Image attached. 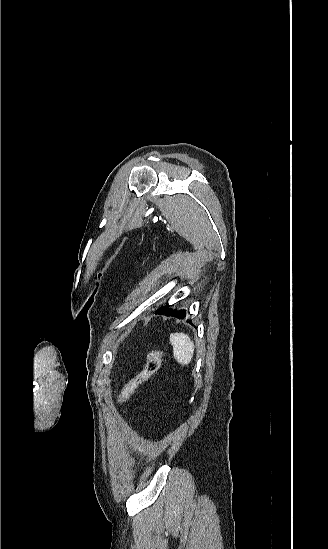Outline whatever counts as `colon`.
<instances>
[{
  "label": "colon",
  "instance_id": "1",
  "mask_svg": "<svg viewBox=\"0 0 328 549\" xmlns=\"http://www.w3.org/2000/svg\"><path fill=\"white\" fill-rule=\"evenodd\" d=\"M162 360V352L158 349H151L147 353L146 362L137 376L129 380L123 387L118 404L124 405L134 391L143 383L148 381L159 369Z\"/></svg>",
  "mask_w": 328,
  "mask_h": 549
}]
</instances>
